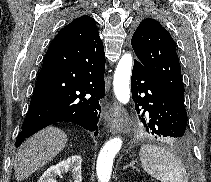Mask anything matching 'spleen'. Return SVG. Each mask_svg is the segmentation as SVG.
<instances>
[{
  "mask_svg": "<svg viewBox=\"0 0 211 182\" xmlns=\"http://www.w3.org/2000/svg\"><path fill=\"white\" fill-rule=\"evenodd\" d=\"M140 161L145 172L161 182H188L181 160L164 147L154 144L142 145Z\"/></svg>",
  "mask_w": 211,
  "mask_h": 182,
  "instance_id": "1",
  "label": "spleen"
}]
</instances>
